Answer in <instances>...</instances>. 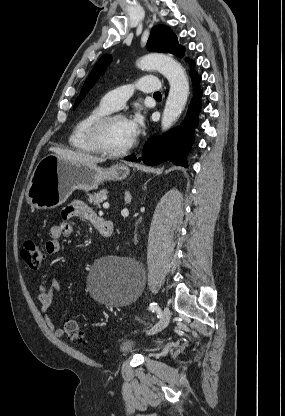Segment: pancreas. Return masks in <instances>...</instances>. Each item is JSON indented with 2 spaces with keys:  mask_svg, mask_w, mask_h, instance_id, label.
<instances>
[{
  "mask_svg": "<svg viewBox=\"0 0 285 416\" xmlns=\"http://www.w3.org/2000/svg\"><path fill=\"white\" fill-rule=\"evenodd\" d=\"M108 194L107 190H100L98 194H87L89 196L90 204H94V206H100L101 202H103L104 196Z\"/></svg>",
  "mask_w": 285,
  "mask_h": 416,
  "instance_id": "cf45deb5",
  "label": "pancreas"
}]
</instances>
